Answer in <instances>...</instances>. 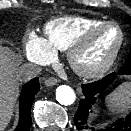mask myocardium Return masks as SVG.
Returning a JSON list of instances; mask_svg holds the SVG:
<instances>
[{
	"instance_id": "myocardium-1",
	"label": "myocardium",
	"mask_w": 131,
	"mask_h": 131,
	"mask_svg": "<svg viewBox=\"0 0 131 131\" xmlns=\"http://www.w3.org/2000/svg\"><path fill=\"white\" fill-rule=\"evenodd\" d=\"M110 26L116 27L120 34L119 42L111 55L103 63L96 66H85L81 64L79 60L81 53L87 48L97 33ZM124 42L125 33L122 27L117 22L104 21L96 26L91 27L77 39V41L67 52L68 62L74 72L82 77L95 78L102 76L108 72L116 63L124 46Z\"/></svg>"
}]
</instances>
